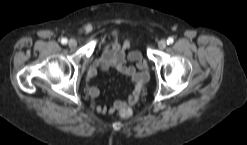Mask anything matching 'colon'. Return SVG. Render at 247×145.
<instances>
[{
    "instance_id": "1",
    "label": "colon",
    "mask_w": 247,
    "mask_h": 145,
    "mask_svg": "<svg viewBox=\"0 0 247 145\" xmlns=\"http://www.w3.org/2000/svg\"><path fill=\"white\" fill-rule=\"evenodd\" d=\"M119 115L125 119L130 118L132 116V109L129 106H123L119 110Z\"/></svg>"
}]
</instances>
